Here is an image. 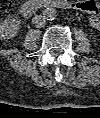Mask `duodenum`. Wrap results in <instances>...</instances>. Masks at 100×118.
I'll list each match as a JSON object with an SVG mask.
<instances>
[{"instance_id":"obj_1","label":"duodenum","mask_w":100,"mask_h":118,"mask_svg":"<svg viewBox=\"0 0 100 118\" xmlns=\"http://www.w3.org/2000/svg\"><path fill=\"white\" fill-rule=\"evenodd\" d=\"M58 7L68 9L72 5L67 0H26L20 5V13L24 16H31L42 8Z\"/></svg>"}]
</instances>
